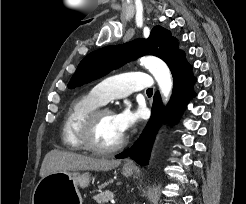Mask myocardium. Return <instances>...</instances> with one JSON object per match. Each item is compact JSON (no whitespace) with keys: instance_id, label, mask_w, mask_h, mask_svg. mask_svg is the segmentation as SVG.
Masks as SVG:
<instances>
[{"instance_id":"myocardium-1","label":"myocardium","mask_w":246,"mask_h":204,"mask_svg":"<svg viewBox=\"0 0 246 204\" xmlns=\"http://www.w3.org/2000/svg\"><path fill=\"white\" fill-rule=\"evenodd\" d=\"M105 114H113V111L106 107H99L92 111L83 121L80 131L79 137L83 147L86 150H89L98 154H110L116 152L123 148L126 145L127 137L123 135V137L114 145L111 146H100L94 141V131L99 119Z\"/></svg>"}]
</instances>
